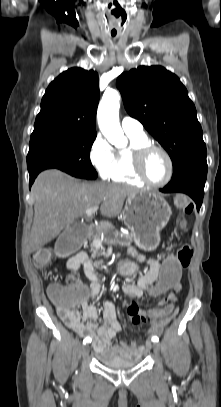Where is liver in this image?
I'll use <instances>...</instances> for the list:
<instances>
[{
	"instance_id": "6515ba94",
	"label": "liver",
	"mask_w": 221,
	"mask_h": 407,
	"mask_svg": "<svg viewBox=\"0 0 221 407\" xmlns=\"http://www.w3.org/2000/svg\"><path fill=\"white\" fill-rule=\"evenodd\" d=\"M139 189L105 182L81 183L60 170H45L36 178L34 220L30 233V251H38L57 237L64 228L102 203L100 213L105 217L120 214L126 197Z\"/></svg>"
}]
</instances>
